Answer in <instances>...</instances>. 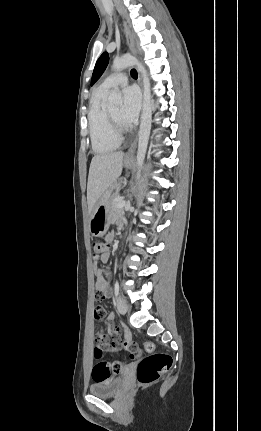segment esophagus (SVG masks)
<instances>
[{
  "mask_svg": "<svg viewBox=\"0 0 261 431\" xmlns=\"http://www.w3.org/2000/svg\"><path fill=\"white\" fill-rule=\"evenodd\" d=\"M124 25V33H125V37H126V42L127 45L129 47V50L131 51V53L135 56H137V50H136V46H135V40H134V34L130 28V26L127 24V22H123ZM139 84L142 88V83H141V77L139 74ZM136 143H137V138L134 140V142L131 144L128 152H127V156H131L133 155L135 149H136Z\"/></svg>",
  "mask_w": 261,
  "mask_h": 431,
  "instance_id": "1",
  "label": "esophagus"
}]
</instances>
